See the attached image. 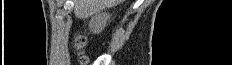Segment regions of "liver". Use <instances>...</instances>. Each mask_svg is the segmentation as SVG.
<instances>
[{"label":"liver","mask_w":232,"mask_h":65,"mask_svg":"<svg viewBox=\"0 0 232 65\" xmlns=\"http://www.w3.org/2000/svg\"><path fill=\"white\" fill-rule=\"evenodd\" d=\"M73 2L75 16L85 19L103 9L116 6L124 0H73Z\"/></svg>","instance_id":"6515ba94"}]
</instances>
